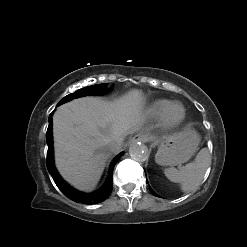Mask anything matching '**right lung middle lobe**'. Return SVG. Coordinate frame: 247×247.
Here are the masks:
<instances>
[{"instance_id": "obj_1", "label": "right lung middle lobe", "mask_w": 247, "mask_h": 247, "mask_svg": "<svg viewBox=\"0 0 247 247\" xmlns=\"http://www.w3.org/2000/svg\"><path fill=\"white\" fill-rule=\"evenodd\" d=\"M109 90L106 88V84H97L88 86L86 88L80 89L76 91L75 93L69 94L66 97H64L59 103L63 104L65 102H68L72 99L87 96V95H101L105 92H108Z\"/></svg>"}]
</instances>
